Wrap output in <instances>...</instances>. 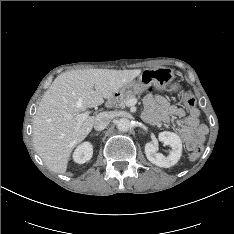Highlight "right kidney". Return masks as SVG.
I'll list each match as a JSON object with an SVG mask.
<instances>
[{"label":"right kidney","mask_w":234,"mask_h":234,"mask_svg":"<svg viewBox=\"0 0 234 234\" xmlns=\"http://www.w3.org/2000/svg\"><path fill=\"white\" fill-rule=\"evenodd\" d=\"M93 155V146L90 142L80 144L73 153V160L78 164L89 161Z\"/></svg>","instance_id":"obj_1"}]
</instances>
